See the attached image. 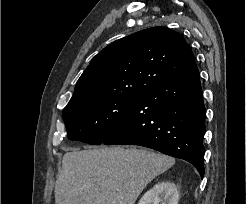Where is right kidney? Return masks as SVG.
Wrapping results in <instances>:
<instances>
[{"mask_svg": "<svg viewBox=\"0 0 246 204\" xmlns=\"http://www.w3.org/2000/svg\"><path fill=\"white\" fill-rule=\"evenodd\" d=\"M179 192L176 185L169 181L157 183L148 190L138 204H178Z\"/></svg>", "mask_w": 246, "mask_h": 204, "instance_id": "ca27d5eb", "label": "right kidney"}]
</instances>
